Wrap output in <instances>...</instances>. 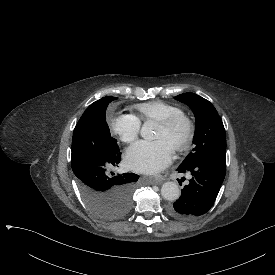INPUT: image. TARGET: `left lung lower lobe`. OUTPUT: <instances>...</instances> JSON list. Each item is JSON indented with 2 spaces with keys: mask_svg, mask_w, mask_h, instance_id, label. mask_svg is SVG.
Listing matches in <instances>:
<instances>
[{
  "mask_svg": "<svg viewBox=\"0 0 275 275\" xmlns=\"http://www.w3.org/2000/svg\"><path fill=\"white\" fill-rule=\"evenodd\" d=\"M180 173L191 172L190 183L184 186L181 197L168 207L171 217L191 220L203 215L213 206L226 173V161L209 158L192 165L179 166Z\"/></svg>",
  "mask_w": 275,
  "mask_h": 275,
  "instance_id": "0a47b994",
  "label": "left lung lower lobe"
}]
</instances>
